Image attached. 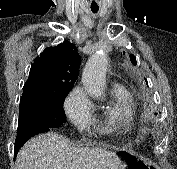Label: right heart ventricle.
Masks as SVG:
<instances>
[{"label": "right heart ventricle", "mask_w": 177, "mask_h": 169, "mask_svg": "<svg viewBox=\"0 0 177 169\" xmlns=\"http://www.w3.org/2000/svg\"><path fill=\"white\" fill-rule=\"evenodd\" d=\"M136 105L132 95L123 87L113 91V102L96 119L105 133H119L132 127Z\"/></svg>", "instance_id": "e07e8e85"}]
</instances>
